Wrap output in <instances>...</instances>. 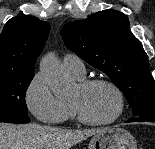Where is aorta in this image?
<instances>
[{
    "mask_svg": "<svg viewBox=\"0 0 155 149\" xmlns=\"http://www.w3.org/2000/svg\"><path fill=\"white\" fill-rule=\"evenodd\" d=\"M40 72L55 96L66 97L70 94L73 82L65 74L59 59L54 53H47L42 58Z\"/></svg>",
    "mask_w": 155,
    "mask_h": 149,
    "instance_id": "1",
    "label": "aorta"
}]
</instances>
